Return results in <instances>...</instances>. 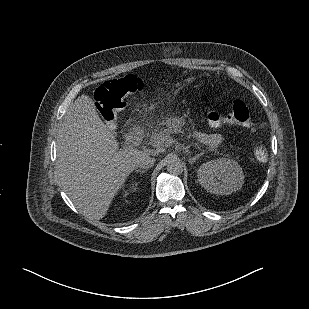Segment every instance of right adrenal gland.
<instances>
[{"label":"right adrenal gland","mask_w":309,"mask_h":309,"mask_svg":"<svg viewBox=\"0 0 309 309\" xmlns=\"http://www.w3.org/2000/svg\"><path fill=\"white\" fill-rule=\"evenodd\" d=\"M137 172H140L141 174H143L146 172V170L138 169Z\"/></svg>","instance_id":"right-adrenal-gland-1"}]
</instances>
